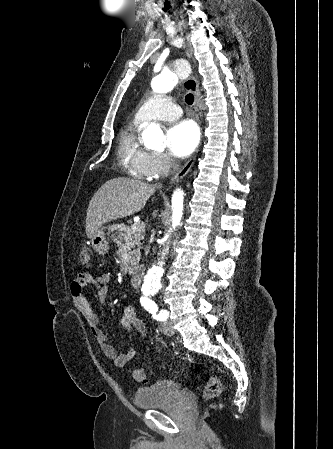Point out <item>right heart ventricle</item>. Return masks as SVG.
Segmentation results:
<instances>
[{
  "instance_id": "e07e8e85",
  "label": "right heart ventricle",
  "mask_w": 333,
  "mask_h": 449,
  "mask_svg": "<svg viewBox=\"0 0 333 449\" xmlns=\"http://www.w3.org/2000/svg\"><path fill=\"white\" fill-rule=\"evenodd\" d=\"M142 124L134 120L119 134L118 155L127 165L130 172L139 179L149 177L146 152L140 145V129Z\"/></svg>"
}]
</instances>
